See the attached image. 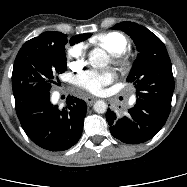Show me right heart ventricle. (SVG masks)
I'll return each mask as SVG.
<instances>
[{
  "instance_id": "1",
  "label": "right heart ventricle",
  "mask_w": 187,
  "mask_h": 187,
  "mask_svg": "<svg viewBox=\"0 0 187 187\" xmlns=\"http://www.w3.org/2000/svg\"><path fill=\"white\" fill-rule=\"evenodd\" d=\"M95 42L113 55L124 54L130 48L128 39L119 32H108L95 38Z\"/></svg>"
}]
</instances>
